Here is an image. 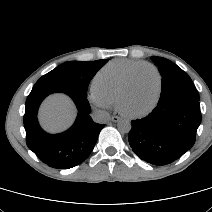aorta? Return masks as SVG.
I'll use <instances>...</instances> for the list:
<instances>
[{"label": "aorta", "instance_id": "1", "mask_svg": "<svg viewBox=\"0 0 212 212\" xmlns=\"http://www.w3.org/2000/svg\"><path fill=\"white\" fill-rule=\"evenodd\" d=\"M117 127L121 133H128L131 130V123L129 120H121L118 122Z\"/></svg>", "mask_w": 212, "mask_h": 212}]
</instances>
